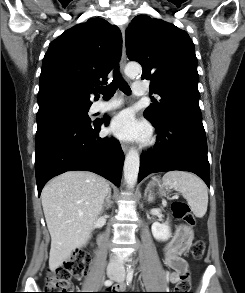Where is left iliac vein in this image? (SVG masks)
Here are the masks:
<instances>
[{
	"instance_id": "4c4485c4",
	"label": "left iliac vein",
	"mask_w": 245,
	"mask_h": 293,
	"mask_svg": "<svg viewBox=\"0 0 245 293\" xmlns=\"http://www.w3.org/2000/svg\"><path fill=\"white\" fill-rule=\"evenodd\" d=\"M124 278H125V272H124V271H121V272L118 273V275H117V277L115 278V280H116L118 283H123Z\"/></svg>"
}]
</instances>
